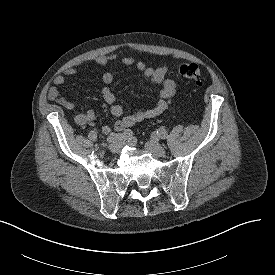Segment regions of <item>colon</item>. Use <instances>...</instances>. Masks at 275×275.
I'll return each instance as SVG.
<instances>
[{
  "label": "colon",
  "mask_w": 275,
  "mask_h": 275,
  "mask_svg": "<svg viewBox=\"0 0 275 275\" xmlns=\"http://www.w3.org/2000/svg\"><path fill=\"white\" fill-rule=\"evenodd\" d=\"M174 72L181 78L189 80L197 86H201L204 82V76L196 64H182Z\"/></svg>",
  "instance_id": "5ec220e1"
}]
</instances>
